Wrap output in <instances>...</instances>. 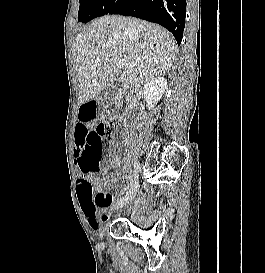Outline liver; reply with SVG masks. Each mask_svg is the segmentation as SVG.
<instances>
[{"label":"liver","mask_w":265,"mask_h":273,"mask_svg":"<svg viewBox=\"0 0 265 273\" xmlns=\"http://www.w3.org/2000/svg\"><path fill=\"white\" fill-rule=\"evenodd\" d=\"M175 52L174 37L159 25L109 15L93 20L77 35L72 45L80 84L79 104L98 97L114 82V57L128 63L121 81L132 86L166 74Z\"/></svg>","instance_id":"1"}]
</instances>
